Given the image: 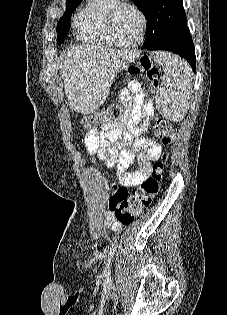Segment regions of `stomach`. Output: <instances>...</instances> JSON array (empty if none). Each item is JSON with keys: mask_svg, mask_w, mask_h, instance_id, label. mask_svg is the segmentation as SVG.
<instances>
[{"mask_svg": "<svg viewBox=\"0 0 227 315\" xmlns=\"http://www.w3.org/2000/svg\"><path fill=\"white\" fill-rule=\"evenodd\" d=\"M108 115V112H104L102 115H101V117L102 116H107Z\"/></svg>", "mask_w": 227, "mask_h": 315, "instance_id": "0dacf381", "label": "stomach"}]
</instances>
